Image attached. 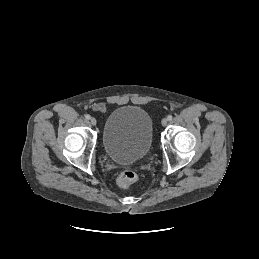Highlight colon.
I'll use <instances>...</instances> for the list:
<instances>
[{
	"mask_svg": "<svg viewBox=\"0 0 259 259\" xmlns=\"http://www.w3.org/2000/svg\"><path fill=\"white\" fill-rule=\"evenodd\" d=\"M138 180V175L136 172L132 171V170H125L123 171L118 179H117V183L118 186L123 189L126 190L128 189L133 183H135Z\"/></svg>",
	"mask_w": 259,
	"mask_h": 259,
	"instance_id": "1",
	"label": "colon"
}]
</instances>
